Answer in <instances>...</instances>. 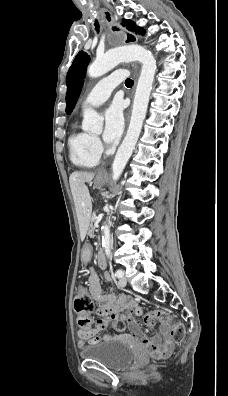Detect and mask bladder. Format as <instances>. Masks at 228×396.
<instances>
[{"instance_id":"1","label":"bladder","mask_w":228,"mask_h":396,"mask_svg":"<svg viewBox=\"0 0 228 396\" xmlns=\"http://www.w3.org/2000/svg\"><path fill=\"white\" fill-rule=\"evenodd\" d=\"M80 357L97 361L110 369H125L134 360L131 347L121 340H107L88 344L80 350Z\"/></svg>"}]
</instances>
